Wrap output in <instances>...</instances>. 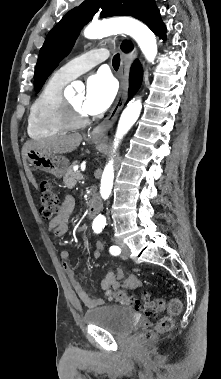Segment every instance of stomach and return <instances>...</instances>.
<instances>
[{"mask_svg": "<svg viewBox=\"0 0 221 379\" xmlns=\"http://www.w3.org/2000/svg\"><path fill=\"white\" fill-rule=\"evenodd\" d=\"M93 140H98V138H93ZM27 160L33 168L50 173L57 178H61L66 174L69 165L65 157L50 155L36 150L28 151Z\"/></svg>", "mask_w": 221, "mask_h": 379, "instance_id": "obj_1", "label": "stomach"}]
</instances>
